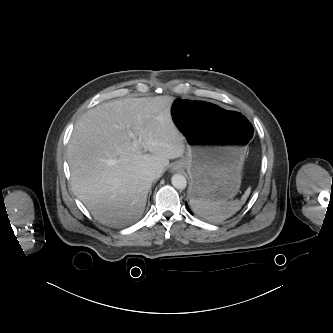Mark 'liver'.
Returning <instances> with one entry per match:
<instances>
[{
    "label": "liver",
    "instance_id": "obj_1",
    "mask_svg": "<svg viewBox=\"0 0 333 333\" xmlns=\"http://www.w3.org/2000/svg\"><path fill=\"white\" fill-rule=\"evenodd\" d=\"M173 102L170 96L105 102L75 124L67 148L72 187L101 223L138 220L152 185L141 172L151 169L160 176L170 159L183 156L184 140L170 112Z\"/></svg>",
    "mask_w": 333,
    "mask_h": 333
}]
</instances>
